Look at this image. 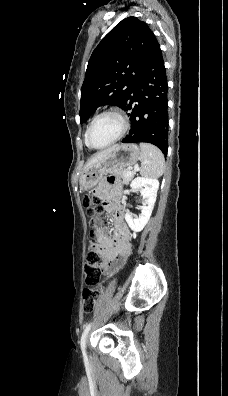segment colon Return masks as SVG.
<instances>
[{
	"label": "colon",
	"mask_w": 228,
	"mask_h": 396,
	"mask_svg": "<svg viewBox=\"0 0 228 396\" xmlns=\"http://www.w3.org/2000/svg\"><path fill=\"white\" fill-rule=\"evenodd\" d=\"M84 205L93 226L91 236L96 237L97 232L94 230V226L96 224L104 225L106 223V218L102 216L103 208L99 198L96 196L86 195L84 197ZM101 263L102 260L98 253V246L93 243L90 246L86 261L87 283L89 286L83 290V310L87 313L94 310L101 293V286L97 283L102 269Z\"/></svg>",
	"instance_id": "5ec220e1"
}]
</instances>
